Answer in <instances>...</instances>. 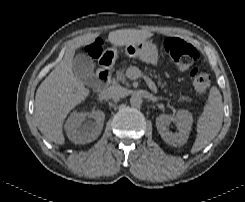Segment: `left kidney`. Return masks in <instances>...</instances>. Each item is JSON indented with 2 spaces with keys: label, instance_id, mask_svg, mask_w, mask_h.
I'll return each instance as SVG.
<instances>
[{
  "label": "left kidney",
  "instance_id": "left-kidney-1",
  "mask_svg": "<svg viewBox=\"0 0 245 202\" xmlns=\"http://www.w3.org/2000/svg\"><path fill=\"white\" fill-rule=\"evenodd\" d=\"M171 120L176 122L178 133L169 132L167 125ZM192 123V114L187 110H178L173 118L166 114H161L156 118V127L161 138L166 144L175 147L182 146L187 142Z\"/></svg>",
  "mask_w": 245,
  "mask_h": 202
}]
</instances>
